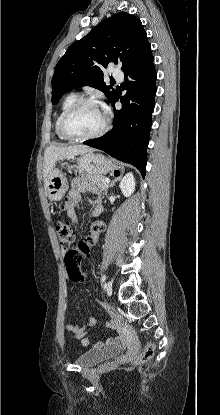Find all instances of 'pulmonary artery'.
<instances>
[{"label": "pulmonary artery", "mask_w": 220, "mask_h": 415, "mask_svg": "<svg viewBox=\"0 0 220 415\" xmlns=\"http://www.w3.org/2000/svg\"><path fill=\"white\" fill-rule=\"evenodd\" d=\"M113 76H114L115 79H117L119 81H121L123 79V73L118 71V70H115L113 72Z\"/></svg>", "instance_id": "pulmonary-artery-1"}]
</instances>
